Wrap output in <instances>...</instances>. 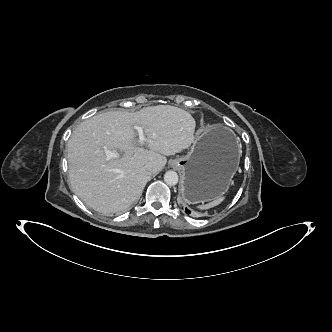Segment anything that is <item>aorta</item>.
Segmentation results:
<instances>
[{"instance_id": "1", "label": "aorta", "mask_w": 332, "mask_h": 332, "mask_svg": "<svg viewBox=\"0 0 332 332\" xmlns=\"http://www.w3.org/2000/svg\"><path fill=\"white\" fill-rule=\"evenodd\" d=\"M164 181L169 186H174L178 183V174L175 171H167L164 174Z\"/></svg>"}]
</instances>
